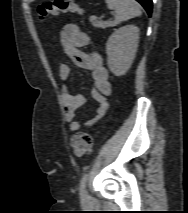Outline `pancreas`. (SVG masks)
I'll return each mask as SVG.
<instances>
[{
  "label": "pancreas",
  "instance_id": "pancreas-1",
  "mask_svg": "<svg viewBox=\"0 0 188 213\" xmlns=\"http://www.w3.org/2000/svg\"><path fill=\"white\" fill-rule=\"evenodd\" d=\"M89 20L94 27H98L101 29H106L108 27H114L117 25V22L115 21H101L95 16H91Z\"/></svg>",
  "mask_w": 188,
  "mask_h": 213
}]
</instances>
